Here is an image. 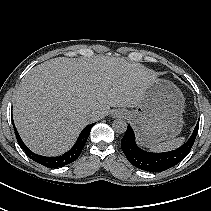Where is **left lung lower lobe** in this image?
<instances>
[{
	"label": "left lung lower lobe",
	"mask_w": 211,
	"mask_h": 211,
	"mask_svg": "<svg viewBox=\"0 0 211 211\" xmlns=\"http://www.w3.org/2000/svg\"><path fill=\"white\" fill-rule=\"evenodd\" d=\"M197 123L188 141L176 150L151 153L141 150L135 143V135L130 125L121 140V148L128 161L135 167L148 172H162L181 162L190 152L198 133Z\"/></svg>",
	"instance_id": "1"
}]
</instances>
